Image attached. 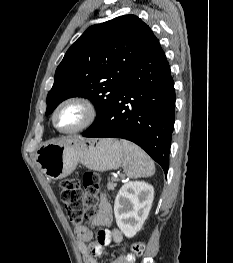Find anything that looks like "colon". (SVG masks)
I'll return each mask as SVG.
<instances>
[{"mask_svg": "<svg viewBox=\"0 0 233 263\" xmlns=\"http://www.w3.org/2000/svg\"><path fill=\"white\" fill-rule=\"evenodd\" d=\"M100 184L101 178L94 172L85 173L84 191L81 190L77 179L69 178L61 181V200L72 223L81 224L85 219L95 216ZM145 249L146 245L143 241H135L131 245V251L137 257L141 256Z\"/></svg>", "mask_w": 233, "mask_h": 263, "instance_id": "colon-1", "label": "colon"}]
</instances>
